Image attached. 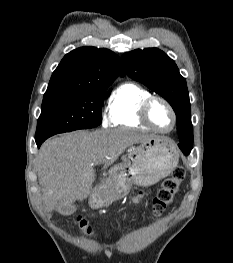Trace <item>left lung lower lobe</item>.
<instances>
[{
  "mask_svg": "<svg viewBox=\"0 0 233 263\" xmlns=\"http://www.w3.org/2000/svg\"><path fill=\"white\" fill-rule=\"evenodd\" d=\"M178 146L185 155L190 154L192 146L186 140H180Z\"/></svg>",
  "mask_w": 233,
  "mask_h": 263,
  "instance_id": "0a47b994",
  "label": "left lung lower lobe"
}]
</instances>
